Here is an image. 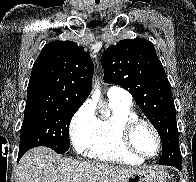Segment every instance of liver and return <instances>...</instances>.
<instances>
[{"mask_svg": "<svg viewBox=\"0 0 196 182\" xmlns=\"http://www.w3.org/2000/svg\"><path fill=\"white\" fill-rule=\"evenodd\" d=\"M107 163L61 157L46 147L28 151L20 161L19 182H125L140 171Z\"/></svg>", "mask_w": 196, "mask_h": 182, "instance_id": "6515ba94", "label": "liver"}]
</instances>
